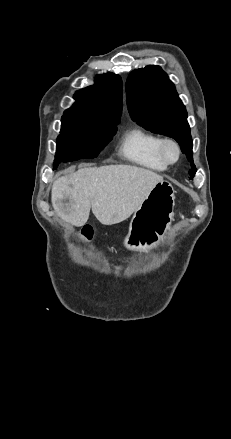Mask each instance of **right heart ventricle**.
<instances>
[{
    "mask_svg": "<svg viewBox=\"0 0 231 439\" xmlns=\"http://www.w3.org/2000/svg\"><path fill=\"white\" fill-rule=\"evenodd\" d=\"M162 138L140 127L128 129L119 145L123 157L143 168L162 172L168 165L161 158L159 144Z\"/></svg>",
    "mask_w": 231,
    "mask_h": 439,
    "instance_id": "1",
    "label": "right heart ventricle"
}]
</instances>
